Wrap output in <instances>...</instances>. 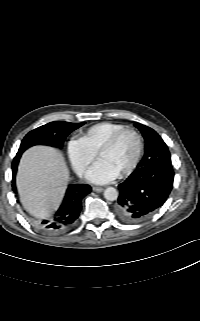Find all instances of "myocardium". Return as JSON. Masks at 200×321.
<instances>
[{
  "mask_svg": "<svg viewBox=\"0 0 200 321\" xmlns=\"http://www.w3.org/2000/svg\"><path fill=\"white\" fill-rule=\"evenodd\" d=\"M126 133H132L135 135V137L137 139V151H136L135 157H134L133 161L131 162V164L124 171H122L119 174L120 177H125V176L131 174L135 170V168L137 167V165L140 161V158H141V155L143 152V148H144V142H143V137H142L141 133L133 127H125L123 129L119 130L118 132H116L115 134H113L100 147V149L97 152L98 157H100L102 152L113 148L117 144V142L120 140V138Z\"/></svg>",
  "mask_w": 200,
  "mask_h": 321,
  "instance_id": "f54148a6",
  "label": "myocardium"
}]
</instances>
